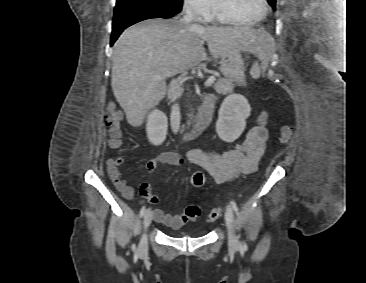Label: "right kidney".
Masks as SVG:
<instances>
[{
  "label": "right kidney",
  "mask_w": 366,
  "mask_h": 283,
  "mask_svg": "<svg viewBox=\"0 0 366 283\" xmlns=\"http://www.w3.org/2000/svg\"><path fill=\"white\" fill-rule=\"evenodd\" d=\"M168 120L165 113L154 109L147 117L146 131L150 143L161 145L167 135Z\"/></svg>",
  "instance_id": "right-kidney-1"
}]
</instances>
